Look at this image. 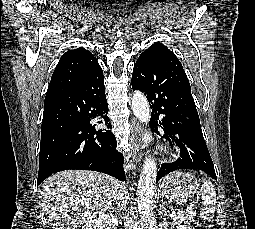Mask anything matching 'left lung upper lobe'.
Instances as JSON below:
<instances>
[{
  "label": "left lung upper lobe",
  "mask_w": 255,
  "mask_h": 229,
  "mask_svg": "<svg viewBox=\"0 0 255 229\" xmlns=\"http://www.w3.org/2000/svg\"><path fill=\"white\" fill-rule=\"evenodd\" d=\"M163 52L173 53L162 43L156 42L153 45H151L148 49H146L140 56L153 55Z\"/></svg>",
  "instance_id": "1"
}]
</instances>
